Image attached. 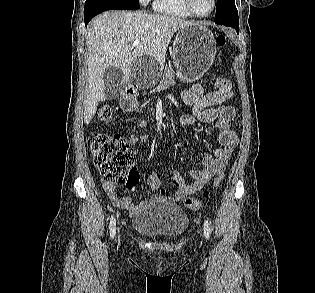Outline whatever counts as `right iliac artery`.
<instances>
[{"mask_svg":"<svg viewBox=\"0 0 315 293\" xmlns=\"http://www.w3.org/2000/svg\"><path fill=\"white\" fill-rule=\"evenodd\" d=\"M109 229H110V236L112 238H114L115 233H116V220L115 217H112L110 220V225H109Z\"/></svg>","mask_w":315,"mask_h":293,"instance_id":"obj_1","label":"right iliac artery"}]
</instances>
